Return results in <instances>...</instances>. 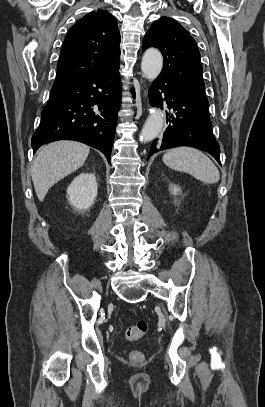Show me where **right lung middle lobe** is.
Wrapping results in <instances>:
<instances>
[{
  "mask_svg": "<svg viewBox=\"0 0 265 407\" xmlns=\"http://www.w3.org/2000/svg\"><path fill=\"white\" fill-rule=\"evenodd\" d=\"M62 87H52V89H51V92H54V91H57V90H59V89H61ZM50 92V93H51Z\"/></svg>",
  "mask_w": 265,
  "mask_h": 407,
  "instance_id": "dd1d6c3e",
  "label": "right lung middle lobe"
}]
</instances>
